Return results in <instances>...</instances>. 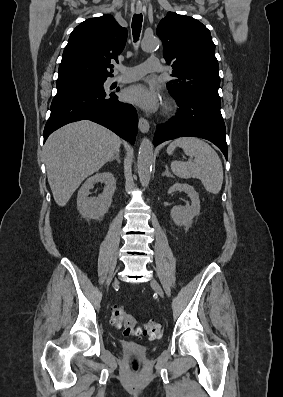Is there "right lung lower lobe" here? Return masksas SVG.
Here are the masks:
<instances>
[{
    "instance_id": "obj_1",
    "label": "right lung lower lobe",
    "mask_w": 283,
    "mask_h": 397,
    "mask_svg": "<svg viewBox=\"0 0 283 397\" xmlns=\"http://www.w3.org/2000/svg\"><path fill=\"white\" fill-rule=\"evenodd\" d=\"M83 119L109 128L131 144L135 142L138 122L135 109L104 89L82 87L57 92L44 128V142L63 125Z\"/></svg>"
}]
</instances>
